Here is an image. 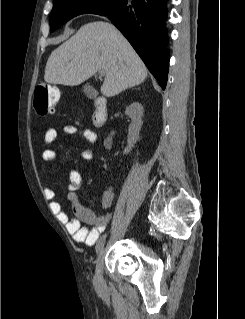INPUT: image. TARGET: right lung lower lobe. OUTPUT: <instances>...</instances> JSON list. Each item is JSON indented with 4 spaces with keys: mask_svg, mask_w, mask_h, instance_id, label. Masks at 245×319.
<instances>
[{
    "mask_svg": "<svg viewBox=\"0 0 245 319\" xmlns=\"http://www.w3.org/2000/svg\"><path fill=\"white\" fill-rule=\"evenodd\" d=\"M167 0H123L106 16L123 33L162 89L169 67Z\"/></svg>",
    "mask_w": 245,
    "mask_h": 319,
    "instance_id": "right-lung-lower-lobe-1",
    "label": "right lung lower lobe"
}]
</instances>
